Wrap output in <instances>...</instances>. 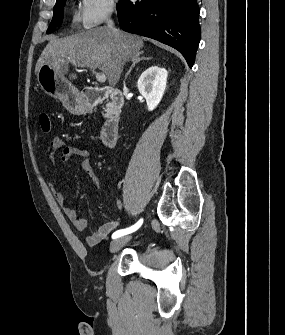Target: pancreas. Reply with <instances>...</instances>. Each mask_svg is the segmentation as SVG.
Instances as JSON below:
<instances>
[{
    "mask_svg": "<svg viewBox=\"0 0 285 335\" xmlns=\"http://www.w3.org/2000/svg\"><path fill=\"white\" fill-rule=\"evenodd\" d=\"M110 117V114L108 112H103L102 113V118L103 119H108Z\"/></svg>",
    "mask_w": 285,
    "mask_h": 335,
    "instance_id": "1",
    "label": "pancreas"
}]
</instances>
